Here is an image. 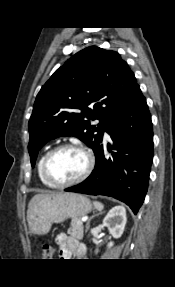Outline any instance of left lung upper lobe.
Returning <instances> with one entry per match:
<instances>
[{
  "instance_id": "obj_1",
  "label": "left lung upper lobe",
  "mask_w": 175,
  "mask_h": 287,
  "mask_svg": "<svg viewBox=\"0 0 175 287\" xmlns=\"http://www.w3.org/2000/svg\"><path fill=\"white\" fill-rule=\"evenodd\" d=\"M138 84L115 51L91 46L58 68L38 93L29 120L32 166L51 139L76 136L96 152L111 119L131 101ZM98 119L97 126L90 121Z\"/></svg>"
}]
</instances>
